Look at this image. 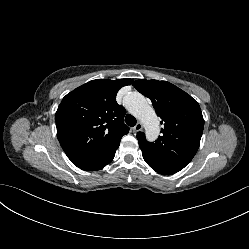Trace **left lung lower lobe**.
<instances>
[{
  "label": "left lung lower lobe",
  "mask_w": 249,
  "mask_h": 249,
  "mask_svg": "<svg viewBox=\"0 0 249 249\" xmlns=\"http://www.w3.org/2000/svg\"><path fill=\"white\" fill-rule=\"evenodd\" d=\"M143 155V154H142ZM145 162L156 172L163 175H171L174 174L185 167V165L160 161L157 159H153L146 155H143Z\"/></svg>",
  "instance_id": "obj_1"
}]
</instances>
